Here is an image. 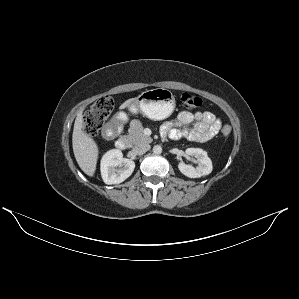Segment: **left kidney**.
<instances>
[{
  "mask_svg": "<svg viewBox=\"0 0 299 299\" xmlns=\"http://www.w3.org/2000/svg\"><path fill=\"white\" fill-rule=\"evenodd\" d=\"M185 152L187 155L195 157V162L198 165L193 167L183 162L179 163L178 168L182 174L189 178H199L212 172V161L206 151L200 148H187Z\"/></svg>",
  "mask_w": 299,
  "mask_h": 299,
  "instance_id": "obj_1",
  "label": "left kidney"
}]
</instances>
